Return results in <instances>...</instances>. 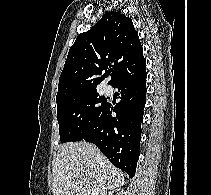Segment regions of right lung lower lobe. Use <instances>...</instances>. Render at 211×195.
Instances as JSON below:
<instances>
[{
    "mask_svg": "<svg viewBox=\"0 0 211 195\" xmlns=\"http://www.w3.org/2000/svg\"><path fill=\"white\" fill-rule=\"evenodd\" d=\"M145 65L122 75L112 85L118 87L120 102L116 105L108 103L81 139L95 144L114 166L127 172L131 178L139 158L141 122L146 102ZM112 112L116 115L113 116Z\"/></svg>",
    "mask_w": 211,
    "mask_h": 195,
    "instance_id": "1",
    "label": "right lung lower lobe"
}]
</instances>
